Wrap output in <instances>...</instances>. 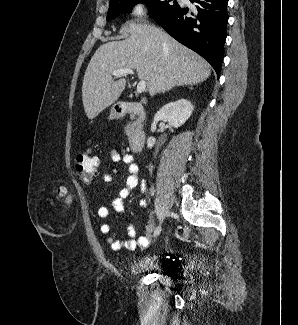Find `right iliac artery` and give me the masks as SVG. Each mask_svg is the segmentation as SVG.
<instances>
[{"mask_svg": "<svg viewBox=\"0 0 298 325\" xmlns=\"http://www.w3.org/2000/svg\"><path fill=\"white\" fill-rule=\"evenodd\" d=\"M160 231H161V227L158 226V227L155 229V231H154V236L159 235Z\"/></svg>", "mask_w": 298, "mask_h": 325, "instance_id": "obj_1", "label": "right iliac artery"}]
</instances>
